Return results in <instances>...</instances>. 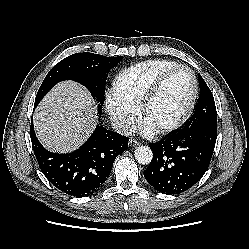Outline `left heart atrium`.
Returning a JSON list of instances; mask_svg holds the SVG:
<instances>
[{
	"label": "left heart atrium",
	"instance_id": "1",
	"mask_svg": "<svg viewBox=\"0 0 249 249\" xmlns=\"http://www.w3.org/2000/svg\"><path fill=\"white\" fill-rule=\"evenodd\" d=\"M156 130V128L148 122H144L141 126V131L144 134H151Z\"/></svg>",
	"mask_w": 249,
	"mask_h": 249
}]
</instances>
